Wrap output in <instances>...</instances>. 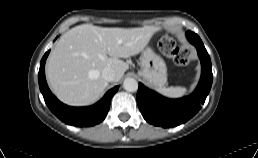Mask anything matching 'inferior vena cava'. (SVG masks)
Returning a JSON list of instances; mask_svg holds the SVG:
<instances>
[{
  "label": "inferior vena cava",
  "mask_w": 258,
  "mask_h": 158,
  "mask_svg": "<svg viewBox=\"0 0 258 158\" xmlns=\"http://www.w3.org/2000/svg\"><path fill=\"white\" fill-rule=\"evenodd\" d=\"M102 78L107 82H113L116 80V72L112 68H104L102 71Z\"/></svg>",
  "instance_id": "1"
}]
</instances>
